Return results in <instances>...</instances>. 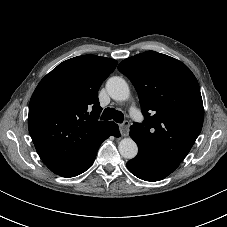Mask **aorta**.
I'll list each match as a JSON object with an SVG mask.
<instances>
[{"instance_id":"aorta-1","label":"aorta","mask_w":227,"mask_h":227,"mask_svg":"<svg viewBox=\"0 0 227 227\" xmlns=\"http://www.w3.org/2000/svg\"><path fill=\"white\" fill-rule=\"evenodd\" d=\"M106 89L109 96L116 101H125L130 96V90L127 82L121 77H111L106 83ZM121 156L125 159H133L138 153V147L131 138H124L118 145Z\"/></svg>"}]
</instances>
